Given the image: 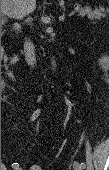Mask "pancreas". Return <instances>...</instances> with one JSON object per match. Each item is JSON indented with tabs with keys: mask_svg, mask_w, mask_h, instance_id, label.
Returning a JSON list of instances; mask_svg holds the SVG:
<instances>
[{
	"mask_svg": "<svg viewBox=\"0 0 109 170\" xmlns=\"http://www.w3.org/2000/svg\"><path fill=\"white\" fill-rule=\"evenodd\" d=\"M75 11L81 17L88 16L89 19H100L101 17H106V10L103 8L92 10L90 7L82 8L78 4L75 5Z\"/></svg>",
	"mask_w": 109,
	"mask_h": 170,
	"instance_id": "cf45deb5",
	"label": "pancreas"
}]
</instances>
